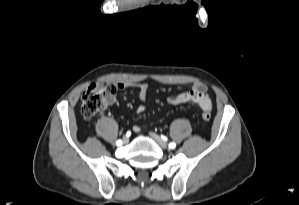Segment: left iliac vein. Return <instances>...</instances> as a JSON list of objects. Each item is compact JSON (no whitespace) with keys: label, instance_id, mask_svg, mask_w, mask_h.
<instances>
[{"label":"left iliac vein","instance_id":"left-iliac-vein-1","mask_svg":"<svg viewBox=\"0 0 299 205\" xmlns=\"http://www.w3.org/2000/svg\"><path fill=\"white\" fill-rule=\"evenodd\" d=\"M150 136L162 149L168 148L167 143L160 136L153 132H150Z\"/></svg>","mask_w":299,"mask_h":205}]
</instances>
